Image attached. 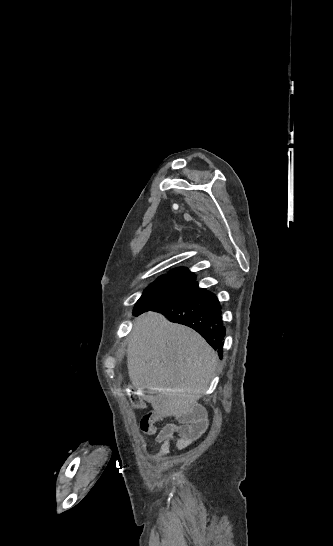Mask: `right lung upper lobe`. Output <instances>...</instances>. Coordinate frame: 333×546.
I'll return each instance as SVG.
<instances>
[{
	"label": "right lung upper lobe",
	"mask_w": 333,
	"mask_h": 546,
	"mask_svg": "<svg viewBox=\"0 0 333 546\" xmlns=\"http://www.w3.org/2000/svg\"><path fill=\"white\" fill-rule=\"evenodd\" d=\"M163 276H169V277H174V278L183 279V280L195 279V276L188 269L183 267L174 269L170 271L168 274H165Z\"/></svg>",
	"instance_id": "cb5924a9"
}]
</instances>
